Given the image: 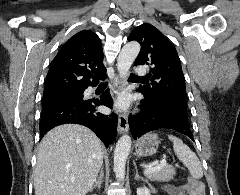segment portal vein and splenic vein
<instances>
[{"label":"portal vein and splenic vein","instance_id":"1","mask_svg":"<svg viewBox=\"0 0 240 195\" xmlns=\"http://www.w3.org/2000/svg\"><path fill=\"white\" fill-rule=\"evenodd\" d=\"M154 165V167H153ZM150 167H146L144 173H150V171H159L163 165H167V159H160L157 163H153Z\"/></svg>","mask_w":240,"mask_h":195}]
</instances>
